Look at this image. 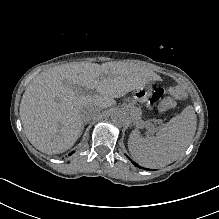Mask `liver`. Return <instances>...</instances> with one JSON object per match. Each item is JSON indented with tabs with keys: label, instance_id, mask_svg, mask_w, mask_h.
<instances>
[{
	"label": "liver",
	"instance_id": "1",
	"mask_svg": "<svg viewBox=\"0 0 219 219\" xmlns=\"http://www.w3.org/2000/svg\"><path fill=\"white\" fill-rule=\"evenodd\" d=\"M150 72L133 64L88 62L45 69L29 84L20 103V118L29 142L39 151L65 152L80 137L87 114L102 108L150 80ZM96 90L93 96L75 95V87Z\"/></svg>",
	"mask_w": 219,
	"mask_h": 219
}]
</instances>
